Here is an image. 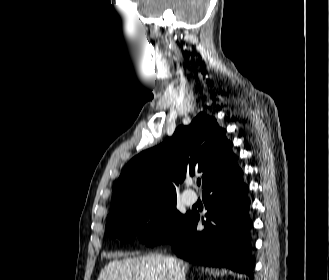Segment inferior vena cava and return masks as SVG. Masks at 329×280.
Listing matches in <instances>:
<instances>
[{
	"mask_svg": "<svg viewBox=\"0 0 329 280\" xmlns=\"http://www.w3.org/2000/svg\"><path fill=\"white\" fill-rule=\"evenodd\" d=\"M168 264L172 267L174 280H185L184 274L181 272L180 266L174 258H168Z\"/></svg>",
	"mask_w": 329,
	"mask_h": 280,
	"instance_id": "1",
	"label": "inferior vena cava"
}]
</instances>
